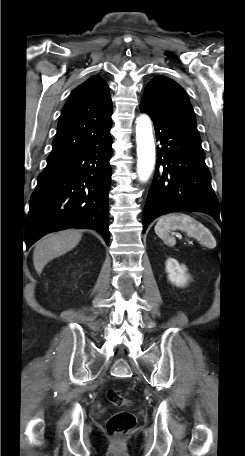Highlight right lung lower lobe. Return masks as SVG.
Returning a JSON list of instances; mask_svg holds the SVG:
<instances>
[{
	"instance_id": "98d812e1",
	"label": "right lung lower lobe",
	"mask_w": 245,
	"mask_h": 456,
	"mask_svg": "<svg viewBox=\"0 0 245 456\" xmlns=\"http://www.w3.org/2000/svg\"><path fill=\"white\" fill-rule=\"evenodd\" d=\"M111 145L108 130L88 148L47 163L30 199L27 249L46 233L72 227L97 230L109 243Z\"/></svg>"
}]
</instances>
